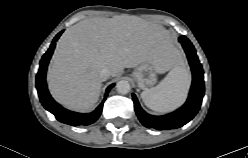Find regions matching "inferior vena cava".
I'll list each match as a JSON object with an SVG mask.
<instances>
[{
  "mask_svg": "<svg viewBox=\"0 0 248 158\" xmlns=\"http://www.w3.org/2000/svg\"><path fill=\"white\" fill-rule=\"evenodd\" d=\"M99 75H100L101 80L105 81L110 77L111 72H110V70L108 68H103V69H101Z\"/></svg>",
  "mask_w": 248,
  "mask_h": 158,
  "instance_id": "1",
  "label": "inferior vena cava"
}]
</instances>
